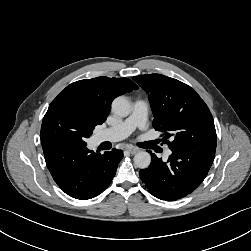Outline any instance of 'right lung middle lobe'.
I'll list each match as a JSON object with an SVG mask.
<instances>
[{
	"mask_svg": "<svg viewBox=\"0 0 251 251\" xmlns=\"http://www.w3.org/2000/svg\"><path fill=\"white\" fill-rule=\"evenodd\" d=\"M91 119L70 104L50 106L41 126V142L65 141L86 146L95 128Z\"/></svg>",
	"mask_w": 251,
	"mask_h": 251,
	"instance_id": "obj_1",
	"label": "right lung middle lobe"
}]
</instances>
